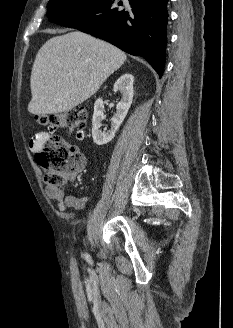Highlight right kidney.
<instances>
[{"instance_id": "right-kidney-1", "label": "right kidney", "mask_w": 233, "mask_h": 328, "mask_svg": "<svg viewBox=\"0 0 233 328\" xmlns=\"http://www.w3.org/2000/svg\"><path fill=\"white\" fill-rule=\"evenodd\" d=\"M133 82L134 77L130 73L123 74L114 84V92L118 90L122 93V99L116 106V113L112 118L111 128L108 131H102V120L104 115V102L102 98L97 99L94 104V114L92 118V137L97 145H104L110 142L116 131L119 129L124 118L126 117L128 110L132 104L133 99Z\"/></svg>"}]
</instances>
